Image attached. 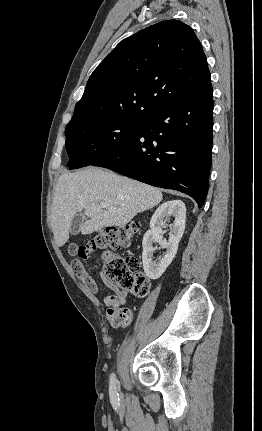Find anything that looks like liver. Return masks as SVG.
Returning a JSON list of instances; mask_svg holds the SVG:
<instances>
[{"label":"liver","mask_w":262,"mask_h":431,"mask_svg":"<svg viewBox=\"0 0 262 431\" xmlns=\"http://www.w3.org/2000/svg\"><path fill=\"white\" fill-rule=\"evenodd\" d=\"M162 199L159 189L109 170L87 167L64 173L57 181L52 200L54 239L58 246L68 241L71 222L82 210L89 218L80 228L86 235L106 226H124L138 213L158 205ZM101 202L108 203L115 210L102 208Z\"/></svg>","instance_id":"1"}]
</instances>
